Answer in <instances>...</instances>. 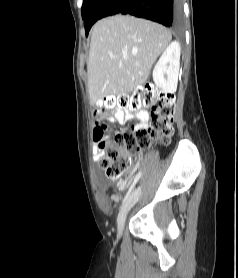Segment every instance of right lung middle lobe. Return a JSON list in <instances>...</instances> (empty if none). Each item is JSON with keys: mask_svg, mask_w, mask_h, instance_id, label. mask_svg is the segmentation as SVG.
Masks as SVG:
<instances>
[{"mask_svg": "<svg viewBox=\"0 0 238 278\" xmlns=\"http://www.w3.org/2000/svg\"><path fill=\"white\" fill-rule=\"evenodd\" d=\"M97 0H84V3L81 8L82 19L84 20L87 14V11L93 6ZM85 24V23H84Z\"/></svg>", "mask_w": 238, "mask_h": 278, "instance_id": "1", "label": "right lung middle lobe"}]
</instances>
